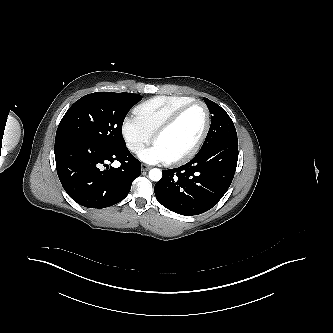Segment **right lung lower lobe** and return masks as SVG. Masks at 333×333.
Listing matches in <instances>:
<instances>
[{
    "instance_id": "98d812e1",
    "label": "right lung lower lobe",
    "mask_w": 333,
    "mask_h": 333,
    "mask_svg": "<svg viewBox=\"0 0 333 333\" xmlns=\"http://www.w3.org/2000/svg\"><path fill=\"white\" fill-rule=\"evenodd\" d=\"M55 160L64 190L88 208H105L122 201L141 174V163L126 146L105 148L61 138L55 140ZM115 160L120 167H109Z\"/></svg>"
}]
</instances>
